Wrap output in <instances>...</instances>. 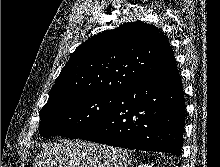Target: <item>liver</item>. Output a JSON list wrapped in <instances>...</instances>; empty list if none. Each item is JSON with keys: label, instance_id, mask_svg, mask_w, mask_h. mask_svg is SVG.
Wrapping results in <instances>:
<instances>
[{"label": "liver", "instance_id": "liver-1", "mask_svg": "<svg viewBox=\"0 0 220 167\" xmlns=\"http://www.w3.org/2000/svg\"><path fill=\"white\" fill-rule=\"evenodd\" d=\"M131 152L103 144L64 140L43 146L33 167H128Z\"/></svg>", "mask_w": 220, "mask_h": 167}]
</instances>
